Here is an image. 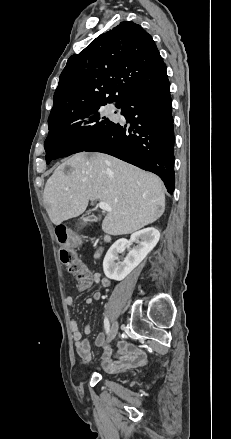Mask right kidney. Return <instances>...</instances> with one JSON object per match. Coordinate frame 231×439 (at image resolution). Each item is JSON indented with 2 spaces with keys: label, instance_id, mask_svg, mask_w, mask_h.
<instances>
[{
  "label": "right kidney",
  "instance_id": "ca27d5eb",
  "mask_svg": "<svg viewBox=\"0 0 231 439\" xmlns=\"http://www.w3.org/2000/svg\"><path fill=\"white\" fill-rule=\"evenodd\" d=\"M159 239L160 232L153 227H149L133 233L130 240L125 238L117 240L109 248L103 260V270L106 277L116 281L123 280L153 250ZM133 243L137 245L130 249L123 262H119L118 254Z\"/></svg>",
  "mask_w": 231,
  "mask_h": 439
}]
</instances>
